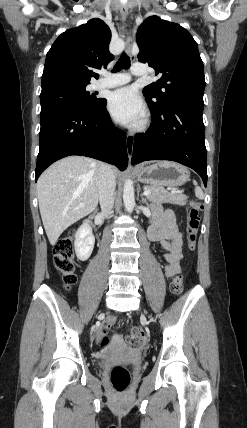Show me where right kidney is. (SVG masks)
I'll list each match as a JSON object with an SVG mask.
<instances>
[{
	"instance_id": "right-kidney-1",
	"label": "right kidney",
	"mask_w": 247,
	"mask_h": 428,
	"mask_svg": "<svg viewBox=\"0 0 247 428\" xmlns=\"http://www.w3.org/2000/svg\"><path fill=\"white\" fill-rule=\"evenodd\" d=\"M94 243L95 238L89 225H81L75 233L74 247L77 258L86 261L93 251Z\"/></svg>"
}]
</instances>
